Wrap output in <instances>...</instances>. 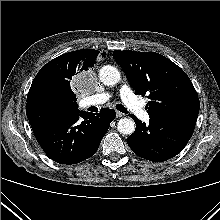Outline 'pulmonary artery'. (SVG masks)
I'll list each match as a JSON object with an SVG mask.
<instances>
[{"mask_svg":"<svg viewBox=\"0 0 220 220\" xmlns=\"http://www.w3.org/2000/svg\"><path fill=\"white\" fill-rule=\"evenodd\" d=\"M121 99L127 108L133 112L139 119L143 121L149 120V114L144 108V105L138 98L134 95L129 86L123 85L120 88ZM110 95L108 93L97 94L92 96L90 102L92 104L104 103L109 100Z\"/></svg>","mask_w":220,"mask_h":220,"instance_id":"e3ab8cb5","label":"pulmonary artery"}]
</instances>
